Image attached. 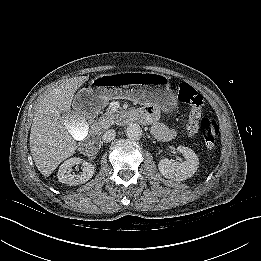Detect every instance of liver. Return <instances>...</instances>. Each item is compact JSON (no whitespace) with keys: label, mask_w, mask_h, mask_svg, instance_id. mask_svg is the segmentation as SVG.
Segmentation results:
<instances>
[{"label":"liver","mask_w":261,"mask_h":261,"mask_svg":"<svg viewBox=\"0 0 261 261\" xmlns=\"http://www.w3.org/2000/svg\"><path fill=\"white\" fill-rule=\"evenodd\" d=\"M88 78H70L39 101L29 143L35 165L44 176H49L77 148L67 123L76 118L74 113H70L74 93Z\"/></svg>","instance_id":"1"}]
</instances>
